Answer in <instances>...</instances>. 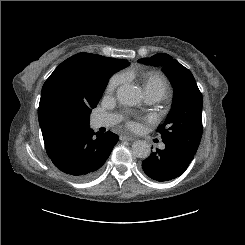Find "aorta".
<instances>
[{"mask_svg":"<svg viewBox=\"0 0 245 245\" xmlns=\"http://www.w3.org/2000/svg\"><path fill=\"white\" fill-rule=\"evenodd\" d=\"M117 99L123 105L134 106L141 101V91L132 85H122L117 89ZM132 153L137 158H147L151 147L146 141H135L132 144Z\"/></svg>","mask_w":245,"mask_h":245,"instance_id":"obj_1","label":"aorta"}]
</instances>
